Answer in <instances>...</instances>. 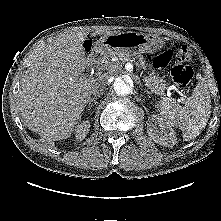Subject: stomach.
<instances>
[{"label":"stomach","mask_w":221,"mask_h":221,"mask_svg":"<svg viewBox=\"0 0 221 221\" xmlns=\"http://www.w3.org/2000/svg\"><path fill=\"white\" fill-rule=\"evenodd\" d=\"M162 46L163 41L158 36L133 31L104 35L96 43L97 51L103 55L110 53L139 55L144 52H153Z\"/></svg>","instance_id":"1"}]
</instances>
